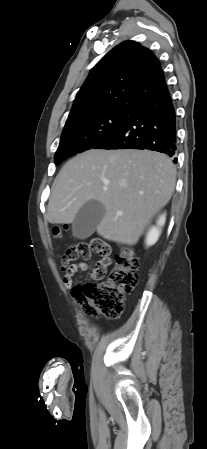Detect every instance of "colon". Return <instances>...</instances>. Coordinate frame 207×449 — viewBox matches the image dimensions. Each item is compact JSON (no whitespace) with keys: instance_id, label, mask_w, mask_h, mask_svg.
Instances as JSON below:
<instances>
[{"instance_id":"1","label":"colon","mask_w":207,"mask_h":449,"mask_svg":"<svg viewBox=\"0 0 207 449\" xmlns=\"http://www.w3.org/2000/svg\"><path fill=\"white\" fill-rule=\"evenodd\" d=\"M52 233L54 236H59L61 227L53 226ZM92 253L102 257L92 272L93 279L98 282L87 281L77 284L72 289V294L86 314L116 319L123 311L125 294L132 292L138 284L139 261L131 248L122 247L115 256V266L108 279L101 281L107 267L112 263V251L104 241L94 238L89 242H80L68 248L62 258L63 266L78 258L88 260Z\"/></svg>"}]
</instances>
